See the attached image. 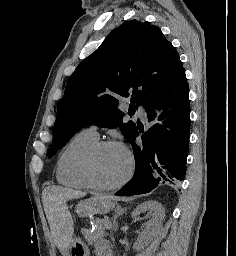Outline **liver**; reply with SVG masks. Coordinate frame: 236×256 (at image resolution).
Instances as JSON below:
<instances>
[{"label": "liver", "instance_id": "1", "mask_svg": "<svg viewBox=\"0 0 236 256\" xmlns=\"http://www.w3.org/2000/svg\"><path fill=\"white\" fill-rule=\"evenodd\" d=\"M42 200L44 206V212L47 216L49 222L50 230L52 234H56V226L58 220V212H60L62 202L66 200H71V198H84L85 192H77V190H71V188H61V186H48L42 192ZM61 202L60 206H57ZM70 218V214H69ZM69 226L71 228L70 238L73 234V224L72 220H69ZM60 252L66 256L61 244L58 246Z\"/></svg>", "mask_w": 236, "mask_h": 256}]
</instances>
